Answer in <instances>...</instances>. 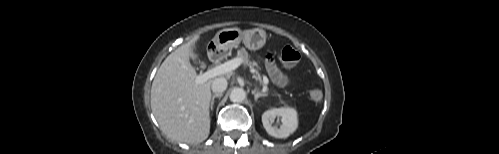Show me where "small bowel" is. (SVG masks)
<instances>
[{"instance_id":"1","label":"small bowel","mask_w":499,"mask_h":154,"mask_svg":"<svg viewBox=\"0 0 499 154\" xmlns=\"http://www.w3.org/2000/svg\"><path fill=\"white\" fill-rule=\"evenodd\" d=\"M266 67L275 84L278 86H285L288 83L287 76L279 70L271 56H268L267 58Z\"/></svg>"}]
</instances>
